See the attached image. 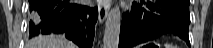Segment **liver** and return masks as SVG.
<instances>
[{
	"label": "liver",
	"instance_id": "1",
	"mask_svg": "<svg viewBox=\"0 0 213 48\" xmlns=\"http://www.w3.org/2000/svg\"><path fill=\"white\" fill-rule=\"evenodd\" d=\"M26 48H77L74 43L64 36H38L26 44Z\"/></svg>",
	"mask_w": 213,
	"mask_h": 48
}]
</instances>
